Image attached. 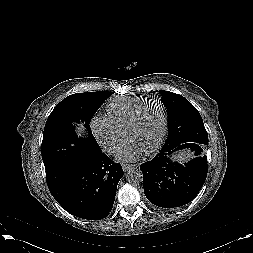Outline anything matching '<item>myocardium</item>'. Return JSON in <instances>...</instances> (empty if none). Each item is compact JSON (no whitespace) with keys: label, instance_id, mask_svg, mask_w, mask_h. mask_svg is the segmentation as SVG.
<instances>
[{"label":"myocardium","instance_id":"1","mask_svg":"<svg viewBox=\"0 0 253 253\" xmlns=\"http://www.w3.org/2000/svg\"><path fill=\"white\" fill-rule=\"evenodd\" d=\"M154 103L159 104L162 109L163 124H162V129H161V132H160V135H159L157 141L150 148H148L146 150L147 153H151V152H154L155 150H157L164 141V138H165V135L167 132V126H168V112H167V107H166L165 103L160 99L147 100L146 102H144L141 106H139L137 108V110L134 112L133 116L131 117L129 123L127 124V126L125 128V135L127 136L128 132L130 130H132L135 127V125L137 124V122H138L142 112L145 110V108L147 106H149L150 104H154Z\"/></svg>","mask_w":253,"mask_h":253}]
</instances>
